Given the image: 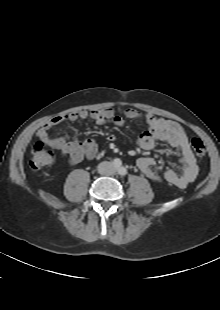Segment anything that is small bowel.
<instances>
[{
	"instance_id": "obj_1",
	"label": "small bowel",
	"mask_w": 220,
	"mask_h": 310,
	"mask_svg": "<svg viewBox=\"0 0 220 310\" xmlns=\"http://www.w3.org/2000/svg\"><path fill=\"white\" fill-rule=\"evenodd\" d=\"M90 118L96 124L112 123L123 125L127 120L145 119L148 129L138 138V145L145 150L154 147L156 141L166 142L178 151L179 169L167 168L158 170L157 162L151 157H142L137 160V167L153 181L165 180L177 188H185L198 175V165L192 151L189 137L183 127L172 120L155 116L150 112L142 113L135 108L98 109L91 112L77 111L57 115L48 120L37 131L38 139L49 147L58 150L67 158L70 165H76L83 160H92L98 154V145L93 139L78 140L74 136L53 137L49 131L65 121H82ZM116 136L110 134L108 140L115 141Z\"/></svg>"
}]
</instances>
